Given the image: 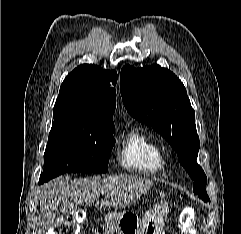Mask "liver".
<instances>
[{
	"mask_svg": "<svg viewBox=\"0 0 241 234\" xmlns=\"http://www.w3.org/2000/svg\"><path fill=\"white\" fill-rule=\"evenodd\" d=\"M153 185V181L136 175H113L107 178L80 179L69 183L68 177H59L43 185L40 193L41 223L38 234L56 223V214L77 205H99L124 208L135 203Z\"/></svg>",
	"mask_w": 241,
	"mask_h": 234,
	"instance_id": "1",
	"label": "liver"
}]
</instances>
